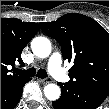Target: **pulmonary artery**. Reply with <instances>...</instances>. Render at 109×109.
Wrapping results in <instances>:
<instances>
[{"instance_id":"pulmonary-artery-1","label":"pulmonary artery","mask_w":109,"mask_h":109,"mask_svg":"<svg viewBox=\"0 0 109 109\" xmlns=\"http://www.w3.org/2000/svg\"><path fill=\"white\" fill-rule=\"evenodd\" d=\"M50 75L61 82H68L69 77L65 74L62 67V56L60 53H53L48 62Z\"/></svg>"}]
</instances>
